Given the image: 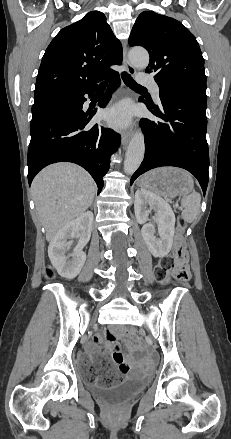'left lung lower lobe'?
<instances>
[{
    "instance_id": "0a47b994",
    "label": "left lung lower lobe",
    "mask_w": 231,
    "mask_h": 439,
    "mask_svg": "<svg viewBox=\"0 0 231 439\" xmlns=\"http://www.w3.org/2000/svg\"><path fill=\"white\" fill-rule=\"evenodd\" d=\"M159 120L143 118L145 157L130 184L144 172L161 166L188 170L199 181L205 195L208 185L209 150L206 141L207 96L190 87L160 89V104L147 103Z\"/></svg>"
}]
</instances>
